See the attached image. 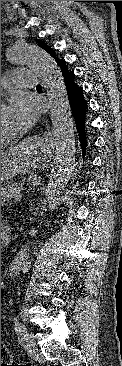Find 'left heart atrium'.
<instances>
[{
    "instance_id": "obj_1",
    "label": "left heart atrium",
    "mask_w": 122,
    "mask_h": 366,
    "mask_svg": "<svg viewBox=\"0 0 122 366\" xmlns=\"http://www.w3.org/2000/svg\"><path fill=\"white\" fill-rule=\"evenodd\" d=\"M7 114L14 123L16 130L25 131L34 124L37 118L36 102L25 92H15L7 107Z\"/></svg>"
}]
</instances>
